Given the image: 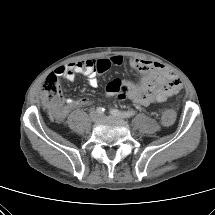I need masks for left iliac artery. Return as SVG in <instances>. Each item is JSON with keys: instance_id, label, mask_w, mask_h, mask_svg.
<instances>
[{"instance_id": "1", "label": "left iliac artery", "mask_w": 215, "mask_h": 215, "mask_svg": "<svg viewBox=\"0 0 215 215\" xmlns=\"http://www.w3.org/2000/svg\"><path fill=\"white\" fill-rule=\"evenodd\" d=\"M110 113L113 115V116H117V117H121V118H130L132 117L133 115H135V111H125V112H121L117 109H112L110 111Z\"/></svg>"}]
</instances>
